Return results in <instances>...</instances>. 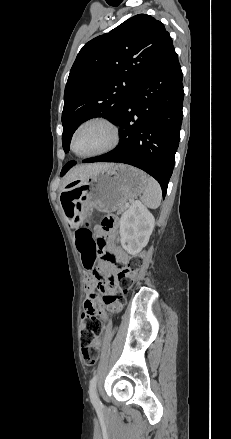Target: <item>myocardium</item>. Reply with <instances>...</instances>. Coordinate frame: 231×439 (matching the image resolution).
Returning a JSON list of instances; mask_svg holds the SVG:
<instances>
[{"mask_svg": "<svg viewBox=\"0 0 231 439\" xmlns=\"http://www.w3.org/2000/svg\"><path fill=\"white\" fill-rule=\"evenodd\" d=\"M92 123L102 124L110 130V133H111L110 142L107 146H105L104 148H102L98 151H95L92 153H87V154H80V153L76 152V150L74 148V141H75L76 135L79 132V130L82 129L84 126H86L88 124H92ZM120 138H121L120 129H119L118 125L113 120H111L110 118L105 117V116H92V117H89V118L81 121L74 128V130L71 134V138H70V149L79 158L98 157V156H102V155H105V154L113 151L119 145Z\"/></svg>", "mask_w": 231, "mask_h": 439, "instance_id": "obj_1", "label": "myocardium"}]
</instances>
